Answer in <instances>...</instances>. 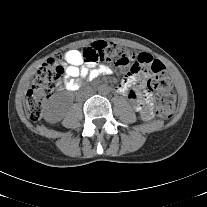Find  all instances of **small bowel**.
Listing matches in <instances>:
<instances>
[{"mask_svg":"<svg viewBox=\"0 0 207 207\" xmlns=\"http://www.w3.org/2000/svg\"><path fill=\"white\" fill-rule=\"evenodd\" d=\"M145 54V53H141ZM64 74L67 79L59 89L65 88L75 91L81 86V79H95L99 76H106L112 73V69L107 65L95 67L93 64L84 63L82 53L79 50H69L65 54ZM145 79L142 71L128 74L116 87L119 94L127 95L134 109L140 114L143 120H149L153 116L152 101L148 94H143Z\"/></svg>","mask_w":207,"mask_h":207,"instance_id":"c3829d8e","label":"small bowel"}]
</instances>
